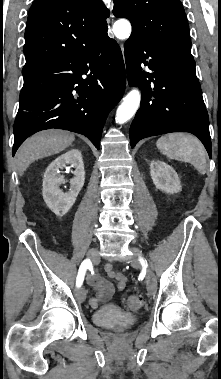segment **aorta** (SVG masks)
I'll return each instance as SVG.
<instances>
[{
  "label": "aorta",
  "instance_id": "obj_1",
  "mask_svg": "<svg viewBox=\"0 0 221 379\" xmlns=\"http://www.w3.org/2000/svg\"><path fill=\"white\" fill-rule=\"evenodd\" d=\"M113 32L118 39H127L131 34V24L127 19H119L113 25ZM141 100L138 89H132L123 99L116 112V123L123 124L137 111Z\"/></svg>",
  "mask_w": 221,
  "mask_h": 379
}]
</instances>
